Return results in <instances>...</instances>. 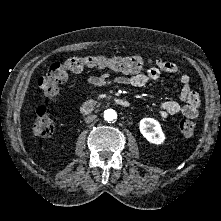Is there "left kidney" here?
Segmentation results:
<instances>
[{
	"instance_id": "1",
	"label": "left kidney",
	"mask_w": 221,
	"mask_h": 221,
	"mask_svg": "<svg viewBox=\"0 0 221 221\" xmlns=\"http://www.w3.org/2000/svg\"><path fill=\"white\" fill-rule=\"evenodd\" d=\"M141 134L152 144H161L165 140L160 123L153 118H143L139 123Z\"/></svg>"
}]
</instances>
